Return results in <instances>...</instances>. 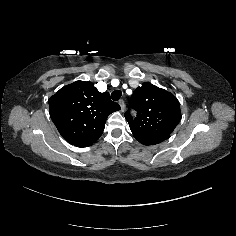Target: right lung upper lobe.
Wrapping results in <instances>:
<instances>
[{
  "mask_svg": "<svg viewBox=\"0 0 236 236\" xmlns=\"http://www.w3.org/2000/svg\"><path fill=\"white\" fill-rule=\"evenodd\" d=\"M50 115L61 136L77 147L96 142L109 114L120 110L109 93H100L93 83L76 81L49 99Z\"/></svg>",
  "mask_w": 236,
  "mask_h": 236,
  "instance_id": "cb5924a9",
  "label": "right lung upper lobe"
}]
</instances>
